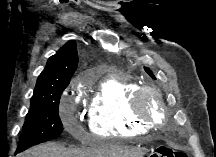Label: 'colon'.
<instances>
[{
  "label": "colon",
  "instance_id": "colon-1",
  "mask_svg": "<svg viewBox=\"0 0 216 157\" xmlns=\"http://www.w3.org/2000/svg\"><path fill=\"white\" fill-rule=\"evenodd\" d=\"M150 157H188L187 153L181 150H175L171 147L161 145L157 147Z\"/></svg>",
  "mask_w": 216,
  "mask_h": 157
}]
</instances>
